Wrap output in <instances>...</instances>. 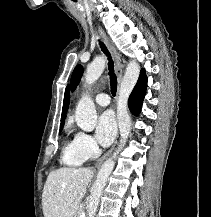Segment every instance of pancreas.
<instances>
[{"mask_svg":"<svg viewBox=\"0 0 211 217\" xmlns=\"http://www.w3.org/2000/svg\"><path fill=\"white\" fill-rule=\"evenodd\" d=\"M80 211H77V213L74 215V217H79Z\"/></svg>","mask_w":211,"mask_h":217,"instance_id":"obj_1","label":"pancreas"}]
</instances>
